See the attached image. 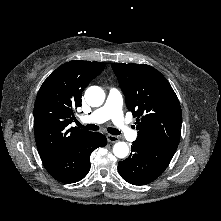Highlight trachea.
<instances>
[{
	"instance_id": "3493384b",
	"label": "trachea",
	"mask_w": 221,
	"mask_h": 221,
	"mask_svg": "<svg viewBox=\"0 0 221 221\" xmlns=\"http://www.w3.org/2000/svg\"><path fill=\"white\" fill-rule=\"evenodd\" d=\"M77 125L80 127V128H84V129H87V130H92V131H96V130H99V127L97 125H94V124H88L86 126L82 125L81 123H77ZM107 131L112 134V135H119L121 134L119 130L115 129V128H111L109 127L107 129Z\"/></svg>"
}]
</instances>
